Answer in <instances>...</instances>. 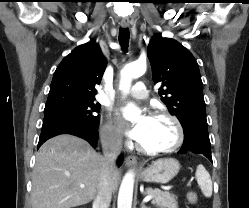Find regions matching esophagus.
I'll list each match as a JSON object with an SVG mask.
<instances>
[{"instance_id":"obj_1","label":"esophagus","mask_w":249,"mask_h":208,"mask_svg":"<svg viewBox=\"0 0 249 208\" xmlns=\"http://www.w3.org/2000/svg\"><path fill=\"white\" fill-rule=\"evenodd\" d=\"M120 24L122 28H128L130 25L129 20H125V19L121 20ZM125 165L127 167H135L137 165V159L134 156L130 155L126 157Z\"/></svg>"}]
</instances>
